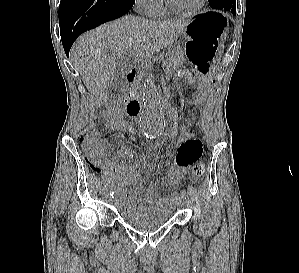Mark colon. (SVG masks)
<instances>
[{
  "label": "colon",
  "instance_id": "colon-1",
  "mask_svg": "<svg viewBox=\"0 0 299 273\" xmlns=\"http://www.w3.org/2000/svg\"><path fill=\"white\" fill-rule=\"evenodd\" d=\"M191 136L190 121L181 122L177 126V130L174 135V143L180 144ZM83 146L86 161L95 173L101 172V157L107 144L92 132L83 134L80 138ZM205 172V165L202 162L194 164L191 170V178L193 181L199 180Z\"/></svg>",
  "mask_w": 299,
  "mask_h": 273
}]
</instances>
